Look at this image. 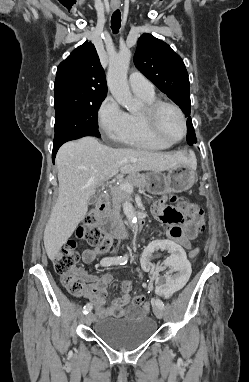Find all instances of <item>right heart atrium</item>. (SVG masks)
<instances>
[{
	"label": "right heart atrium",
	"mask_w": 249,
	"mask_h": 382,
	"mask_svg": "<svg viewBox=\"0 0 249 382\" xmlns=\"http://www.w3.org/2000/svg\"><path fill=\"white\" fill-rule=\"evenodd\" d=\"M97 120L101 133L113 140H119L128 128V114L112 96H107L101 103Z\"/></svg>",
	"instance_id": "d8ad5b80"
}]
</instances>
